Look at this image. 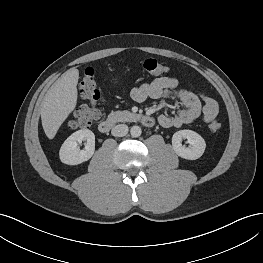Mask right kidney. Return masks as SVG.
Returning a JSON list of instances; mask_svg holds the SVG:
<instances>
[{
    "label": "right kidney",
    "instance_id": "1",
    "mask_svg": "<svg viewBox=\"0 0 263 263\" xmlns=\"http://www.w3.org/2000/svg\"><path fill=\"white\" fill-rule=\"evenodd\" d=\"M86 141L85 148L80 149L78 144ZM95 151V135L89 129L74 132L62 144L59 156L61 162L68 165H78L89 160Z\"/></svg>",
    "mask_w": 263,
    "mask_h": 263
}]
</instances>
